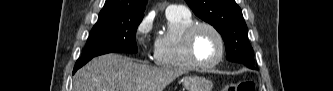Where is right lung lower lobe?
Segmentation results:
<instances>
[{
	"label": "right lung lower lobe",
	"instance_id": "1",
	"mask_svg": "<svg viewBox=\"0 0 333 91\" xmlns=\"http://www.w3.org/2000/svg\"><path fill=\"white\" fill-rule=\"evenodd\" d=\"M92 58H80L77 60L73 73H75L79 68H81L83 65H85L89 60Z\"/></svg>",
	"mask_w": 333,
	"mask_h": 91
}]
</instances>
